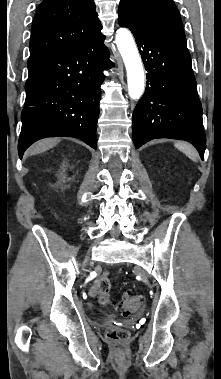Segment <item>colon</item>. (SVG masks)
Listing matches in <instances>:
<instances>
[{
  "mask_svg": "<svg viewBox=\"0 0 221 379\" xmlns=\"http://www.w3.org/2000/svg\"><path fill=\"white\" fill-rule=\"evenodd\" d=\"M111 283L107 276L102 277L98 282V302L101 305H107L109 300V291H110ZM143 302V297L138 294H130L127 293L124 295L122 300L118 303L117 308L121 312L122 315L128 316L130 313L136 311ZM106 338L113 342H124L128 339V332L118 328L111 326L106 330Z\"/></svg>",
  "mask_w": 221,
  "mask_h": 379,
  "instance_id": "obj_1",
  "label": "colon"
}]
</instances>
